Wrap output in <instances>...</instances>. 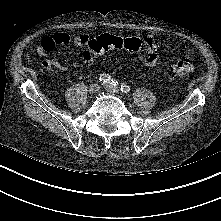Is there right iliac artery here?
<instances>
[{"mask_svg":"<svg viewBox=\"0 0 221 221\" xmlns=\"http://www.w3.org/2000/svg\"><path fill=\"white\" fill-rule=\"evenodd\" d=\"M97 80L99 81V82H101V83H113V79L111 78V76L109 75V74H106V73H103V74H101L98 78H97Z\"/></svg>","mask_w":221,"mask_h":221,"instance_id":"obj_1","label":"right iliac artery"}]
</instances>
